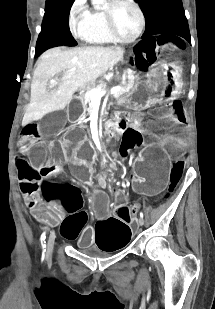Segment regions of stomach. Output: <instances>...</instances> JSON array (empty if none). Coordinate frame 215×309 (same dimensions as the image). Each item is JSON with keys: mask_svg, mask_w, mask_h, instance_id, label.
<instances>
[{"mask_svg": "<svg viewBox=\"0 0 215 309\" xmlns=\"http://www.w3.org/2000/svg\"><path fill=\"white\" fill-rule=\"evenodd\" d=\"M182 86L181 67L175 62L163 60L156 63L145 76H137L125 97L135 103L146 102L149 99L166 100L177 96Z\"/></svg>", "mask_w": 215, "mask_h": 309, "instance_id": "0dacf381", "label": "stomach"}]
</instances>
